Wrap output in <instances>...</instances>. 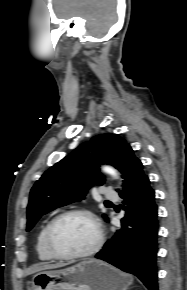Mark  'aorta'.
Returning a JSON list of instances; mask_svg holds the SVG:
<instances>
[{
    "mask_svg": "<svg viewBox=\"0 0 187 290\" xmlns=\"http://www.w3.org/2000/svg\"><path fill=\"white\" fill-rule=\"evenodd\" d=\"M104 171L111 174L112 176H116V172L112 168L106 167L104 168Z\"/></svg>",
    "mask_w": 187,
    "mask_h": 290,
    "instance_id": "1",
    "label": "aorta"
}]
</instances>
